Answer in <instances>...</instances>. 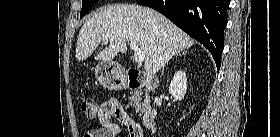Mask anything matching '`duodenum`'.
<instances>
[{
  "label": "duodenum",
  "mask_w": 280,
  "mask_h": 137,
  "mask_svg": "<svg viewBox=\"0 0 280 137\" xmlns=\"http://www.w3.org/2000/svg\"><path fill=\"white\" fill-rule=\"evenodd\" d=\"M126 85L132 90L145 88L148 92H152L158 88L159 80L156 77L141 74L138 71H129L126 74ZM143 125L147 129L154 127L155 113L153 111H145L143 115Z\"/></svg>",
  "instance_id": "410a0bca"
}]
</instances>
